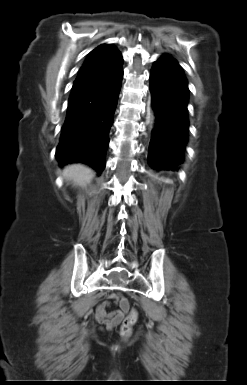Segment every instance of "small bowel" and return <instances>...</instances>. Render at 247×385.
<instances>
[{
	"label": "small bowel",
	"mask_w": 247,
	"mask_h": 385,
	"mask_svg": "<svg viewBox=\"0 0 247 385\" xmlns=\"http://www.w3.org/2000/svg\"><path fill=\"white\" fill-rule=\"evenodd\" d=\"M111 304L119 305L120 309L108 311ZM127 300L120 292H113L108 295V300L100 303L96 307L95 319L97 322L104 324L108 329L116 327L124 318Z\"/></svg>",
	"instance_id": "c3829d8e"
}]
</instances>
